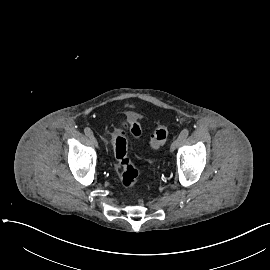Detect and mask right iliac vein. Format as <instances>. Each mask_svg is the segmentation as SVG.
<instances>
[{
	"mask_svg": "<svg viewBox=\"0 0 270 270\" xmlns=\"http://www.w3.org/2000/svg\"><path fill=\"white\" fill-rule=\"evenodd\" d=\"M90 140H91L92 144H93L95 147L98 146L97 139L95 138L94 135H91V136H90Z\"/></svg>",
	"mask_w": 270,
	"mask_h": 270,
	"instance_id": "obj_1",
	"label": "right iliac vein"
}]
</instances>
